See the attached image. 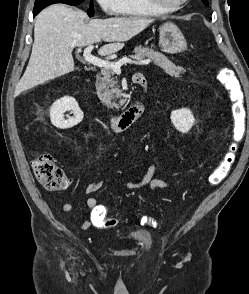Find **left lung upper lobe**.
I'll return each mask as SVG.
<instances>
[{
  "label": "left lung upper lobe",
  "instance_id": "obj_1",
  "mask_svg": "<svg viewBox=\"0 0 249 294\" xmlns=\"http://www.w3.org/2000/svg\"><path fill=\"white\" fill-rule=\"evenodd\" d=\"M202 2H203L206 6L209 5L208 0H202Z\"/></svg>",
  "mask_w": 249,
  "mask_h": 294
}]
</instances>
